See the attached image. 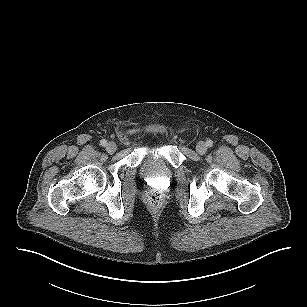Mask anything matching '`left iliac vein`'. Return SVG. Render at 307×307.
<instances>
[{
    "label": "left iliac vein",
    "instance_id": "1",
    "mask_svg": "<svg viewBox=\"0 0 307 307\" xmlns=\"http://www.w3.org/2000/svg\"><path fill=\"white\" fill-rule=\"evenodd\" d=\"M196 151L200 155L205 154L207 152V145L204 142H198L196 145Z\"/></svg>",
    "mask_w": 307,
    "mask_h": 307
}]
</instances>
